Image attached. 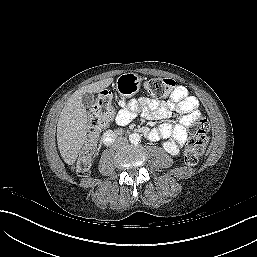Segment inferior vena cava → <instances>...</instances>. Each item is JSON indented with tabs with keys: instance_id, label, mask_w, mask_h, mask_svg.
Masks as SVG:
<instances>
[{
	"instance_id": "inferior-vena-cava-1",
	"label": "inferior vena cava",
	"mask_w": 257,
	"mask_h": 257,
	"mask_svg": "<svg viewBox=\"0 0 257 257\" xmlns=\"http://www.w3.org/2000/svg\"><path fill=\"white\" fill-rule=\"evenodd\" d=\"M127 144H128L127 138L121 136V137H118V138L115 140L113 147H114V148H120V147H123V146H125V145H127Z\"/></svg>"
}]
</instances>
